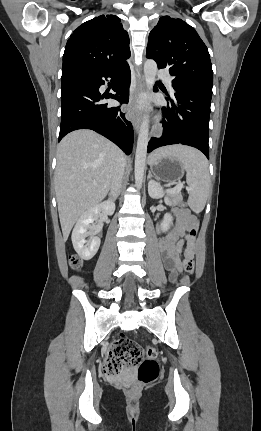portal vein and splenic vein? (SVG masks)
I'll list each match as a JSON object with an SVG mask.
<instances>
[{
  "instance_id": "obj_1",
  "label": "portal vein and splenic vein",
  "mask_w": 261,
  "mask_h": 431,
  "mask_svg": "<svg viewBox=\"0 0 261 431\" xmlns=\"http://www.w3.org/2000/svg\"><path fill=\"white\" fill-rule=\"evenodd\" d=\"M94 185H96V183H94ZM182 187H183V185L181 183H179L174 188L168 189L167 192H170V193L177 192V191H180L182 189Z\"/></svg>"
}]
</instances>
